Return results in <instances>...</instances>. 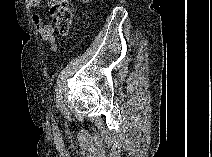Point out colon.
<instances>
[{"mask_svg": "<svg viewBox=\"0 0 212 157\" xmlns=\"http://www.w3.org/2000/svg\"><path fill=\"white\" fill-rule=\"evenodd\" d=\"M50 15L58 32L68 33L72 22V4L65 0L53 1L51 2Z\"/></svg>", "mask_w": 212, "mask_h": 157, "instance_id": "1", "label": "colon"}]
</instances>
